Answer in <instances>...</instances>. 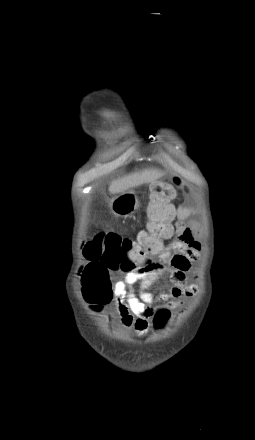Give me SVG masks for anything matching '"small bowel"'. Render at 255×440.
Returning a JSON list of instances; mask_svg holds the SVG:
<instances>
[{"mask_svg":"<svg viewBox=\"0 0 255 440\" xmlns=\"http://www.w3.org/2000/svg\"><path fill=\"white\" fill-rule=\"evenodd\" d=\"M192 213L191 208L177 209L179 220L186 219ZM194 229V226L179 223L175 231L176 240L167 246V254L162 260L130 271L124 279L113 283L111 299L115 300L120 321L124 327L133 328L138 336L148 333L150 319L155 315L158 304L167 309H176L184 305L186 298L198 293L197 284L187 283L188 272L192 271L197 278L194 263L200 258V245L195 239ZM167 275L171 282L168 290L158 295L146 291ZM136 283H141L142 288L138 295L133 291ZM108 320H111V316H108Z\"/></svg>","mask_w":255,"mask_h":440,"instance_id":"c3829d8e","label":"small bowel"}]
</instances>
